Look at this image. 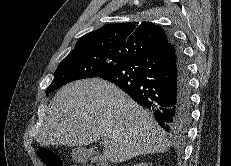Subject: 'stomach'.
<instances>
[{"label":"stomach","instance_id":"1","mask_svg":"<svg viewBox=\"0 0 231 166\" xmlns=\"http://www.w3.org/2000/svg\"><path fill=\"white\" fill-rule=\"evenodd\" d=\"M72 157L77 161H84L85 160L84 150L81 148L74 149L72 152Z\"/></svg>","mask_w":231,"mask_h":166}]
</instances>
